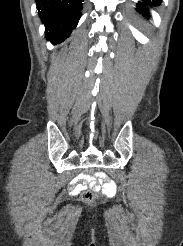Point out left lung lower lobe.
Returning <instances> with one entry per match:
<instances>
[{"label": "left lung lower lobe", "mask_w": 183, "mask_h": 246, "mask_svg": "<svg viewBox=\"0 0 183 246\" xmlns=\"http://www.w3.org/2000/svg\"><path fill=\"white\" fill-rule=\"evenodd\" d=\"M161 3V0H143V2L138 5H140V7L137 9V11L142 14L143 16H145L146 18H148L150 15L148 13V7L147 6H153V5H159Z\"/></svg>", "instance_id": "left-lung-lower-lobe-1"}]
</instances>
